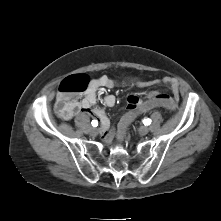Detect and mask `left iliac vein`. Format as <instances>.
Masks as SVG:
<instances>
[{
  "instance_id": "obj_1",
  "label": "left iliac vein",
  "mask_w": 221,
  "mask_h": 221,
  "mask_svg": "<svg viewBox=\"0 0 221 221\" xmlns=\"http://www.w3.org/2000/svg\"><path fill=\"white\" fill-rule=\"evenodd\" d=\"M138 131L141 135H146L149 132V127L148 126H143V127L139 128Z\"/></svg>"
}]
</instances>
